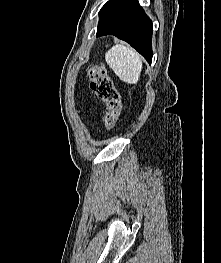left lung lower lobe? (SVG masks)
I'll return each instance as SVG.
<instances>
[{
    "label": "left lung lower lobe",
    "mask_w": 221,
    "mask_h": 263,
    "mask_svg": "<svg viewBox=\"0 0 221 263\" xmlns=\"http://www.w3.org/2000/svg\"><path fill=\"white\" fill-rule=\"evenodd\" d=\"M152 22L138 0H109L99 12L96 36L115 35L128 42L151 63Z\"/></svg>",
    "instance_id": "1"
}]
</instances>
